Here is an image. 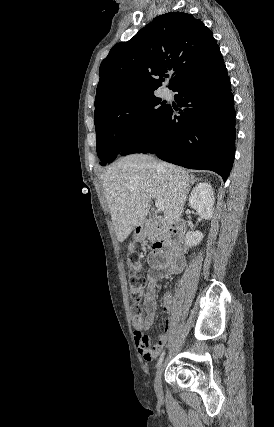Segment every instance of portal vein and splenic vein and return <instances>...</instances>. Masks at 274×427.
Masks as SVG:
<instances>
[{
    "label": "portal vein and splenic vein",
    "instance_id": "1",
    "mask_svg": "<svg viewBox=\"0 0 274 427\" xmlns=\"http://www.w3.org/2000/svg\"><path fill=\"white\" fill-rule=\"evenodd\" d=\"M155 206L158 208V210H163L162 200H156Z\"/></svg>",
    "mask_w": 274,
    "mask_h": 427
}]
</instances>
